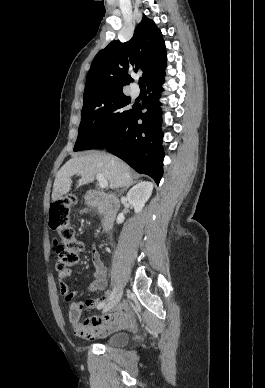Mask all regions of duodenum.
I'll return each mask as SVG.
<instances>
[{
    "label": "duodenum",
    "mask_w": 265,
    "mask_h": 388,
    "mask_svg": "<svg viewBox=\"0 0 265 388\" xmlns=\"http://www.w3.org/2000/svg\"><path fill=\"white\" fill-rule=\"evenodd\" d=\"M85 200L89 205L102 209V229L104 231L109 230L113 226L119 211L120 202L118 198L104 192L89 191L85 195Z\"/></svg>",
    "instance_id": "duodenum-1"
}]
</instances>
